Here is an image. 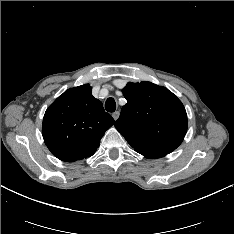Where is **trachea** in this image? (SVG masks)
I'll list each match as a JSON object with an SVG mask.
<instances>
[{"instance_id": "trachea-1", "label": "trachea", "mask_w": 234, "mask_h": 234, "mask_svg": "<svg viewBox=\"0 0 234 234\" xmlns=\"http://www.w3.org/2000/svg\"><path fill=\"white\" fill-rule=\"evenodd\" d=\"M105 109L108 112H114L116 110V102L114 98H108L106 100Z\"/></svg>"}]
</instances>
